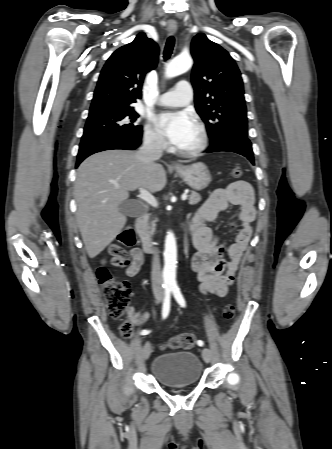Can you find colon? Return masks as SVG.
I'll list each match as a JSON object with an SVG mask.
<instances>
[{
  "instance_id": "colon-1",
  "label": "colon",
  "mask_w": 332,
  "mask_h": 449,
  "mask_svg": "<svg viewBox=\"0 0 332 449\" xmlns=\"http://www.w3.org/2000/svg\"><path fill=\"white\" fill-rule=\"evenodd\" d=\"M230 175L235 178H241L243 169L238 164L235 165ZM120 241L122 244L130 246L136 241V236L132 228H125L120 234ZM109 254L111 256V264L113 266H123L127 263V258L124 249L120 246L113 245ZM107 260H102L101 265L97 269V277L102 286V292L106 300V305L109 314L114 319L121 320L119 327L120 334L124 338H128L132 333V324L126 318V312L131 297V286L126 280H117L106 266ZM235 308L232 305H227L223 309V318L231 320L234 317ZM195 343V338L190 333H182L167 342L164 347L172 349H190Z\"/></svg>"
}]
</instances>
